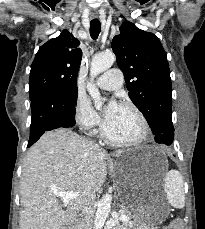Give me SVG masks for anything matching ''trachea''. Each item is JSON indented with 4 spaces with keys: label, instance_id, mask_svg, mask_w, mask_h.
<instances>
[{
    "label": "trachea",
    "instance_id": "1",
    "mask_svg": "<svg viewBox=\"0 0 205 229\" xmlns=\"http://www.w3.org/2000/svg\"><path fill=\"white\" fill-rule=\"evenodd\" d=\"M101 30V23L98 19L91 20L90 23V35L92 39L96 40Z\"/></svg>",
    "mask_w": 205,
    "mask_h": 229
}]
</instances>
